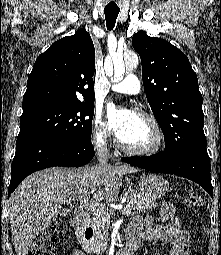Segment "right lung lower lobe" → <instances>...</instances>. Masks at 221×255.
I'll list each match as a JSON object with an SVG mask.
<instances>
[{"mask_svg":"<svg viewBox=\"0 0 221 255\" xmlns=\"http://www.w3.org/2000/svg\"><path fill=\"white\" fill-rule=\"evenodd\" d=\"M95 155L92 143L71 142L33 132H20L11 166L8 197L29 174L53 167H79Z\"/></svg>","mask_w":221,"mask_h":255,"instance_id":"1","label":"right lung lower lobe"}]
</instances>
